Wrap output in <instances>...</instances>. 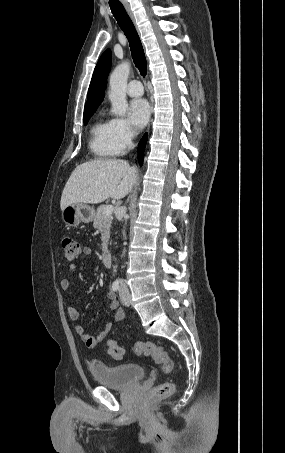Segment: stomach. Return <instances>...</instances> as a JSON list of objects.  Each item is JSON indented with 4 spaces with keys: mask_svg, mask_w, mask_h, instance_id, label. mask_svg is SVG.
Here are the masks:
<instances>
[{
    "mask_svg": "<svg viewBox=\"0 0 285 453\" xmlns=\"http://www.w3.org/2000/svg\"><path fill=\"white\" fill-rule=\"evenodd\" d=\"M94 208L85 203H75L62 210V220L67 227H77L81 222L89 223L94 218Z\"/></svg>",
    "mask_w": 285,
    "mask_h": 453,
    "instance_id": "0dacf381",
    "label": "stomach"
}]
</instances>
